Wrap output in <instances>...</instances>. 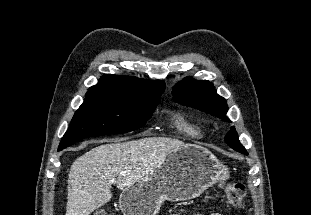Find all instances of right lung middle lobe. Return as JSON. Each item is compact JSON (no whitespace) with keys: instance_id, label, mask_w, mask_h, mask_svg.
<instances>
[{"instance_id":"1","label":"right lung middle lobe","mask_w":311,"mask_h":215,"mask_svg":"<svg viewBox=\"0 0 311 215\" xmlns=\"http://www.w3.org/2000/svg\"><path fill=\"white\" fill-rule=\"evenodd\" d=\"M159 100L86 94L69 130L61 139L58 151L87 137L126 133L141 128L152 116Z\"/></svg>"}]
</instances>
